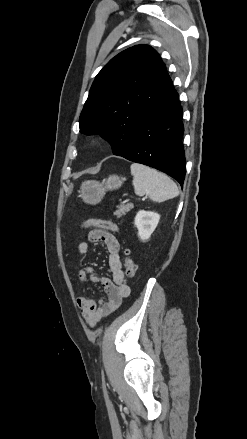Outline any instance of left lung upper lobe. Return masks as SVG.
Here are the masks:
<instances>
[{"label":"left lung upper lobe","instance_id":"obj_1","mask_svg":"<svg viewBox=\"0 0 247 439\" xmlns=\"http://www.w3.org/2000/svg\"><path fill=\"white\" fill-rule=\"evenodd\" d=\"M174 90L152 47L126 49L96 76L80 115V132L102 135L120 156L132 145L142 121Z\"/></svg>","mask_w":247,"mask_h":439}]
</instances>
